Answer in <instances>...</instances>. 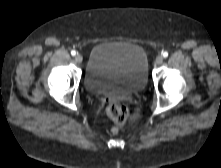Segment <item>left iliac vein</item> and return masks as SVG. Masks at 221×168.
I'll use <instances>...</instances> for the list:
<instances>
[{
    "instance_id": "obj_1",
    "label": "left iliac vein",
    "mask_w": 221,
    "mask_h": 168,
    "mask_svg": "<svg viewBox=\"0 0 221 168\" xmlns=\"http://www.w3.org/2000/svg\"><path fill=\"white\" fill-rule=\"evenodd\" d=\"M163 60H164L163 56H162V55H159V56H157V58H156V63L160 65V64L163 63Z\"/></svg>"
}]
</instances>
